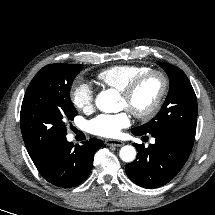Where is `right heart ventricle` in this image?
<instances>
[{"mask_svg": "<svg viewBox=\"0 0 215 215\" xmlns=\"http://www.w3.org/2000/svg\"><path fill=\"white\" fill-rule=\"evenodd\" d=\"M148 70L149 67L143 65H113L101 70L96 78L100 84L121 91L134 78Z\"/></svg>", "mask_w": 215, "mask_h": 215, "instance_id": "1", "label": "right heart ventricle"}]
</instances>
